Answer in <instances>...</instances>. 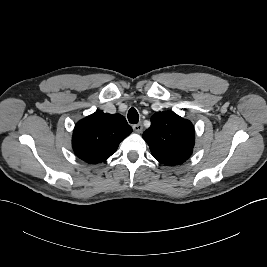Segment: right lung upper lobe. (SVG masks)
<instances>
[{"label": "right lung upper lobe", "mask_w": 267, "mask_h": 267, "mask_svg": "<svg viewBox=\"0 0 267 267\" xmlns=\"http://www.w3.org/2000/svg\"><path fill=\"white\" fill-rule=\"evenodd\" d=\"M131 132L124 116L97 111L75 125L72 147L83 161L101 163L116 152L120 142Z\"/></svg>", "instance_id": "obj_1"}]
</instances>
